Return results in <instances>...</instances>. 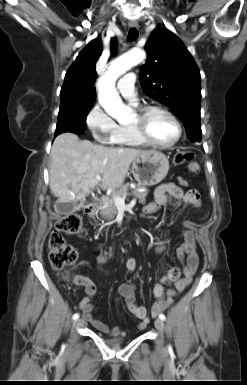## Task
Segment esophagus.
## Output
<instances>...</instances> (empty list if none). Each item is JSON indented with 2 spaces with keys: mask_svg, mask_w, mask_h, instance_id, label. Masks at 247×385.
Segmentation results:
<instances>
[{
  "mask_svg": "<svg viewBox=\"0 0 247 385\" xmlns=\"http://www.w3.org/2000/svg\"><path fill=\"white\" fill-rule=\"evenodd\" d=\"M129 27H130V28H137V27H138V23L135 22V21H130V22H129Z\"/></svg>",
  "mask_w": 247,
  "mask_h": 385,
  "instance_id": "esophagus-1",
  "label": "esophagus"
}]
</instances>
